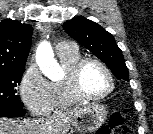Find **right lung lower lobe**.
<instances>
[{
    "instance_id": "right-lung-lower-lobe-1",
    "label": "right lung lower lobe",
    "mask_w": 153,
    "mask_h": 134,
    "mask_svg": "<svg viewBox=\"0 0 153 134\" xmlns=\"http://www.w3.org/2000/svg\"><path fill=\"white\" fill-rule=\"evenodd\" d=\"M25 112L22 108L0 107V117H21Z\"/></svg>"
}]
</instances>
